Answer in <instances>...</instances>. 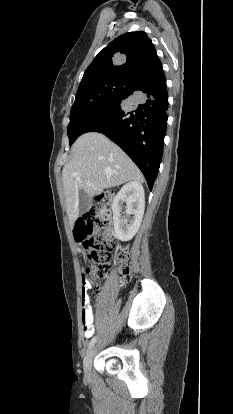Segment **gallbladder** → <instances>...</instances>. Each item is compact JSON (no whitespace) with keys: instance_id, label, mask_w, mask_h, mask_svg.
<instances>
[{"instance_id":"gallbladder-1","label":"gallbladder","mask_w":233,"mask_h":414,"mask_svg":"<svg viewBox=\"0 0 233 414\" xmlns=\"http://www.w3.org/2000/svg\"><path fill=\"white\" fill-rule=\"evenodd\" d=\"M92 199L83 191L79 192V214L86 213L91 206Z\"/></svg>"}]
</instances>
